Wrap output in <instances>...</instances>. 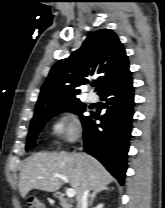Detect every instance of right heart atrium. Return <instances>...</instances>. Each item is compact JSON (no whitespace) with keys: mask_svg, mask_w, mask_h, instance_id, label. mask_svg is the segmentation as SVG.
<instances>
[{"mask_svg":"<svg viewBox=\"0 0 165 208\" xmlns=\"http://www.w3.org/2000/svg\"><path fill=\"white\" fill-rule=\"evenodd\" d=\"M53 133L67 141L76 139L79 135V127L74 115L71 113L62 114L53 125Z\"/></svg>","mask_w":165,"mask_h":208,"instance_id":"1","label":"right heart atrium"}]
</instances>
